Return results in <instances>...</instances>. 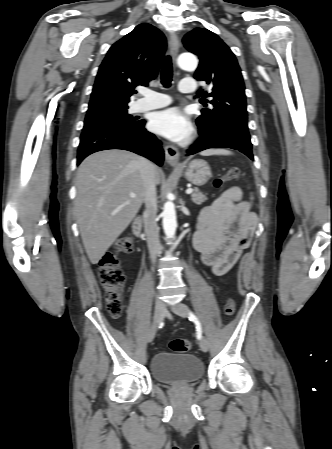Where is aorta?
<instances>
[{"label": "aorta", "instance_id": "1", "mask_svg": "<svg viewBox=\"0 0 332 449\" xmlns=\"http://www.w3.org/2000/svg\"><path fill=\"white\" fill-rule=\"evenodd\" d=\"M178 65L183 70L194 71L197 68L198 60L193 54L184 53L178 57ZM172 197L171 193L167 195L168 201L164 204L162 212L163 229L168 238L175 235L177 228L176 210L174 203L171 201Z\"/></svg>", "mask_w": 332, "mask_h": 449}]
</instances>
